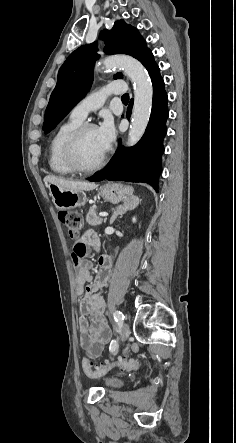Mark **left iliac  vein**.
I'll return each instance as SVG.
<instances>
[{
    "label": "left iliac vein",
    "mask_w": 236,
    "mask_h": 443,
    "mask_svg": "<svg viewBox=\"0 0 236 443\" xmlns=\"http://www.w3.org/2000/svg\"><path fill=\"white\" fill-rule=\"evenodd\" d=\"M129 333H130L129 326L126 323H124L120 330V337L123 342L127 339Z\"/></svg>",
    "instance_id": "obj_1"
}]
</instances>
